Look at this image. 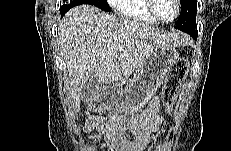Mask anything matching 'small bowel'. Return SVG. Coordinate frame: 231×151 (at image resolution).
<instances>
[{"label":"small bowel","instance_id":"1","mask_svg":"<svg viewBox=\"0 0 231 151\" xmlns=\"http://www.w3.org/2000/svg\"><path fill=\"white\" fill-rule=\"evenodd\" d=\"M159 99L155 97L140 115L126 119L118 115L107 118L90 116L86 130H97L103 136L104 151H144L150 143V135L158 133L162 124L159 115ZM132 134V137L128 135Z\"/></svg>","mask_w":231,"mask_h":151}]
</instances>
